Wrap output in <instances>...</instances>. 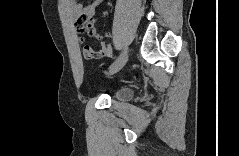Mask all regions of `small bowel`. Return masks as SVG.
Instances as JSON below:
<instances>
[{"label":"small bowel","mask_w":239,"mask_h":156,"mask_svg":"<svg viewBox=\"0 0 239 156\" xmlns=\"http://www.w3.org/2000/svg\"><path fill=\"white\" fill-rule=\"evenodd\" d=\"M100 1L96 0L92 4L82 7L79 3L75 1H70L68 10L73 15L74 25L77 29L80 39L82 38L83 33L79 31L80 26H84L85 31L91 37H97L96 27L94 24V16L96 13V8L99 5ZM82 15L86 16L84 21L81 20ZM112 54L110 46L106 42L100 44L98 51H93L88 47H85V56L91 59H102L108 57Z\"/></svg>","instance_id":"c3829d8e"}]
</instances>
